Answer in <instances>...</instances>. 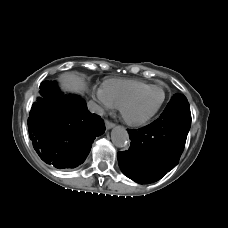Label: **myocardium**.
<instances>
[{
    "mask_svg": "<svg viewBox=\"0 0 228 228\" xmlns=\"http://www.w3.org/2000/svg\"><path fill=\"white\" fill-rule=\"evenodd\" d=\"M152 89H159L162 91V99H161L160 103L158 104V106L151 113L147 114L146 116H143L142 118H138V119L130 118L125 112L126 106L128 104H130L132 101H134L136 98H138L139 96L144 94L145 92L152 90ZM165 99H166V94L160 86L150 85V86L143 88L139 91H136L135 93L126 97L119 105V111H120L122 118L124 119V121L127 124H129L131 126H135V127L142 126V125L146 124L147 122H149L159 112V110L161 109V107L163 106V104L165 102Z\"/></svg>",
    "mask_w": 228,
    "mask_h": 228,
    "instance_id": "1",
    "label": "myocardium"
}]
</instances>
